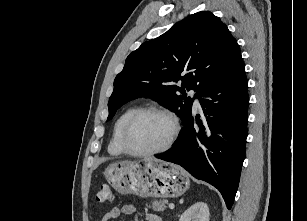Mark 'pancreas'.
<instances>
[{"label":"pancreas","mask_w":307,"mask_h":221,"mask_svg":"<svg viewBox=\"0 0 307 221\" xmlns=\"http://www.w3.org/2000/svg\"><path fill=\"white\" fill-rule=\"evenodd\" d=\"M149 208H152L154 211L163 212L166 209V201L165 200H159V201H152L151 205L148 206Z\"/></svg>","instance_id":"obj_1"}]
</instances>
